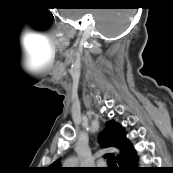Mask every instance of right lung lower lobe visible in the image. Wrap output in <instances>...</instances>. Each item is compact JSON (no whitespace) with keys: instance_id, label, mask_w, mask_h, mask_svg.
<instances>
[{"instance_id":"right-lung-lower-lobe-1","label":"right lung lower lobe","mask_w":173,"mask_h":173,"mask_svg":"<svg viewBox=\"0 0 173 173\" xmlns=\"http://www.w3.org/2000/svg\"><path fill=\"white\" fill-rule=\"evenodd\" d=\"M137 156L133 149L123 160L119 163V169L117 173H148L150 172L146 168L136 167Z\"/></svg>"}]
</instances>
